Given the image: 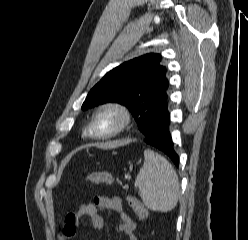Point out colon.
<instances>
[{
  "mask_svg": "<svg viewBox=\"0 0 248 240\" xmlns=\"http://www.w3.org/2000/svg\"><path fill=\"white\" fill-rule=\"evenodd\" d=\"M87 182L90 184H107L112 185L115 183V178L113 175H111L108 172L105 171H97L91 173L87 177ZM127 201L131 207V209L134 211V213L137 215L140 219H145L148 215V212L144 205L135 197L131 195H127Z\"/></svg>",
  "mask_w": 248,
  "mask_h": 240,
  "instance_id": "1",
  "label": "colon"
}]
</instances>
